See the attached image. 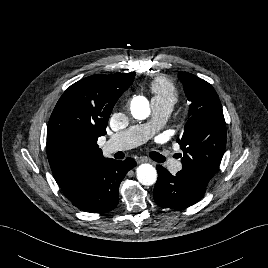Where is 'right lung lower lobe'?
Listing matches in <instances>:
<instances>
[{"label": "right lung lower lobe", "mask_w": 268, "mask_h": 268, "mask_svg": "<svg viewBox=\"0 0 268 268\" xmlns=\"http://www.w3.org/2000/svg\"><path fill=\"white\" fill-rule=\"evenodd\" d=\"M135 166L132 158L124 161L106 159L91 171L81 190L70 199L72 204L90 213H105L114 209L119 200V185Z\"/></svg>", "instance_id": "obj_1"}]
</instances>
